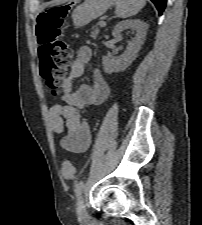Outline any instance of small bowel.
I'll use <instances>...</instances> for the list:
<instances>
[{
  "label": "small bowel",
  "mask_w": 202,
  "mask_h": 225,
  "mask_svg": "<svg viewBox=\"0 0 202 225\" xmlns=\"http://www.w3.org/2000/svg\"><path fill=\"white\" fill-rule=\"evenodd\" d=\"M92 58L89 46H81L76 53L68 77L62 83L61 100L64 104H55L49 110L50 127L54 133H65L62 145L70 152L84 153L91 145V133L88 122L82 117L87 106L103 103L110 92L109 84L103 74L94 69L91 86L81 84L73 90L74 80L82 77Z\"/></svg>",
  "instance_id": "small-bowel-1"
}]
</instances>
